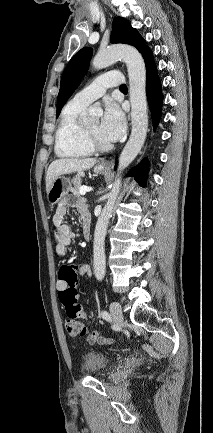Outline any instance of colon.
<instances>
[{
    "instance_id": "1",
    "label": "colon",
    "mask_w": 213,
    "mask_h": 433,
    "mask_svg": "<svg viewBox=\"0 0 213 433\" xmlns=\"http://www.w3.org/2000/svg\"><path fill=\"white\" fill-rule=\"evenodd\" d=\"M58 278L64 284V288L59 291V298L66 311V317L64 320L66 332L71 337L85 336L87 330L79 319L85 318L86 313L83 310L82 305L78 302L76 289L78 273L75 267H61ZM89 336L91 340H94L97 336V332H93Z\"/></svg>"
}]
</instances>
